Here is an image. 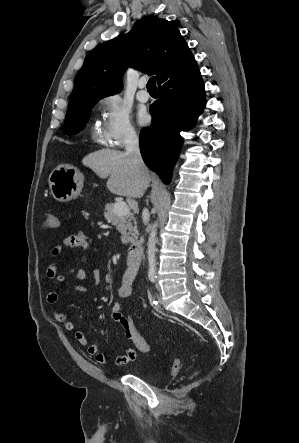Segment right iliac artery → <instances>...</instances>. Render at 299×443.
I'll list each match as a JSON object with an SVG mask.
<instances>
[{"instance_id":"1","label":"right iliac artery","mask_w":299,"mask_h":443,"mask_svg":"<svg viewBox=\"0 0 299 443\" xmlns=\"http://www.w3.org/2000/svg\"><path fill=\"white\" fill-rule=\"evenodd\" d=\"M148 276H149V279H150L151 282H155L156 281L157 276H156L155 272H150Z\"/></svg>"}]
</instances>
